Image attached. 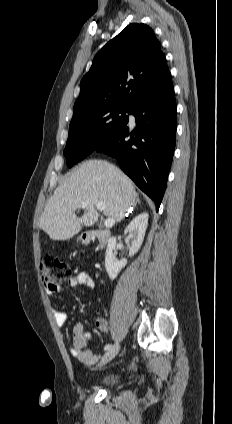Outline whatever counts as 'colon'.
Here are the masks:
<instances>
[{"instance_id": "obj_1", "label": "colon", "mask_w": 232, "mask_h": 424, "mask_svg": "<svg viewBox=\"0 0 232 424\" xmlns=\"http://www.w3.org/2000/svg\"><path fill=\"white\" fill-rule=\"evenodd\" d=\"M40 272L44 286L55 289L62 281L70 277L72 269L69 262L48 253L41 257Z\"/></svg>"}]
</instances>
